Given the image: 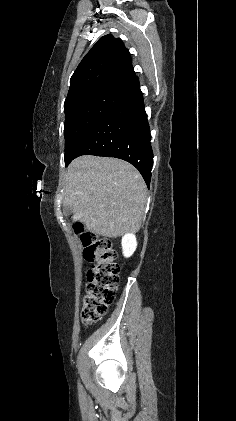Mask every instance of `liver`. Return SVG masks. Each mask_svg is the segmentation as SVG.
Instances as JSON below:
<instances>
[{"instance_id":"liver-1","label":"liver","mask_w":236,"mask_h":421,"mask_svg":"<svg viewBox=\"0 0 236 421\" xmlns=\"http://www.w3.org/2000/svg\"><path fill=\"white\" fill-rule=\"evenodd\" d=\"M63 202L88 231L101 237L133 235L141 227L147 186L137 168L109 156H78L65 174Z\"/></svg>"}]
</instances>
